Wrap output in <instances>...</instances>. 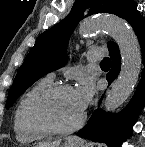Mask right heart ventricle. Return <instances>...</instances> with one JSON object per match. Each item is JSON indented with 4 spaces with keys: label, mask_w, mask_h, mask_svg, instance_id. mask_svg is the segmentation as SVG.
I'll return each mask as SVG.
<instances>
[{
    "label": "right heart ventricle",
    "mask_w": 145,
    "mask_h": 147,
    "mask_svg": "<svg viewBox=\"0 0 145 147\" xmlns=\"http://www.w3.org/2000/svg\"><path fill=\"white\" fill-rule=\"evenodd\" d=\"M53 85L49 77L38 80L20 99L14 113V132L18 141L22 143H32L43 140L51 135L42 127L32 123L28 119L27 110L31 99L41 91Z\"/></svg>",
    "instance_id": "right-heart-ventricle-1"
}]
</instances>
